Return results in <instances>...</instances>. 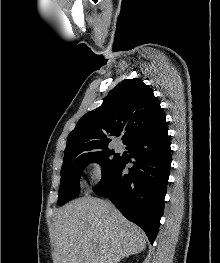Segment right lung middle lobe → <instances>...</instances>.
I'll list each match as a JSON object with an SVG mask.
<instances>
[{
  "label": "right lung middle lobe",
  "instance_id": "obj_1",
  "mask_svg": "<svg viewBox=\"0 0 220 263\" xmlns=\"http://www.w3.org/2000/svg\"><path fill=\"white\" fill-rule=\"evenodd\" d=\"M109 148L86 152H69L64 155L61 168L58 205L76 197L79 193V178L82 170L91 162H99L104 176L119 160Z\"/></svg>",
  "mask_w": 220,
  "mask_h": 263
}]
</instances>
